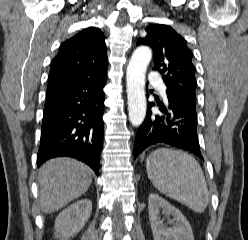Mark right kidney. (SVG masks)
I'll list each match as a JSON object with an SVG mask.
<instances>
[{
	"label": "right kidney",
	"mask_w": 248,
	"mask_h": 240,
	"mask_svg": "<svg viewBox=\"0 0 248 240\" xmlns=\"http://www.w3.org/2000/svg\"><path fill=\"white\" fill-rule=\"evenodd\" d=\"M92 202L89 199L79 200L65 208L55 220V237L68 240L80 232L90 218Z\"/></svg>",
	"instance_id": "right-kidney-1"
}]
</instances>
